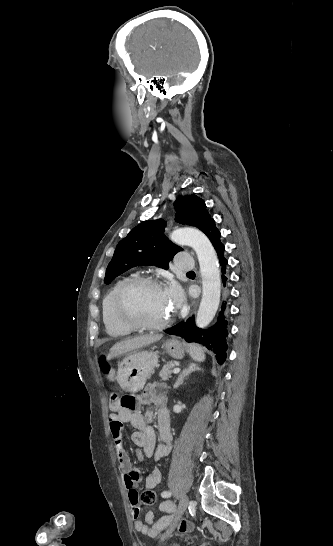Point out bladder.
Masks as SVG:
<instances>
[{
    "instance_id": "obj_1",
    "label": "bladder",
    "mask_w": 333,
    "mask_h": 546,
    "mask_svg": "<svg viewBox=\"0 0 333 546\" xmlns=\"http://www.w3.org/2000/svg\"><path fill=\"white\" fill-rule=\"evenodd\" d=\"M169 546H179V545H177V544L173 543V544H171V545H169Z\"/></svg>"
}]
</instances>
